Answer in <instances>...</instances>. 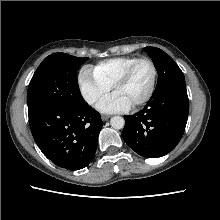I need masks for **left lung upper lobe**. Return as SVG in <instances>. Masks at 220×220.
I'll return each mask as SVG.
<instances>
[{"label":"left lung upper lobe","mask_w":220,"mask_h":220,"mask_svg":"<svg viewBox=\"0 0 220 220\" xmlns=\"http://www.w3.org/2000/svg\"><path fill=\"white\" fill-rule=\"evenodd\" d=\"M145 50L153 59L158 71V82L153 94L169 86L185 83L183 72L168 54L156 47H145Z\"/></svg>","instance_id":"left-lung-upper-lobe-1"}]
</instances>
